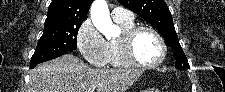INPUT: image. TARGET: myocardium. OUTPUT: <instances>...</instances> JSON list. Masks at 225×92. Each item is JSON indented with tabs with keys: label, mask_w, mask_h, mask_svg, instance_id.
<instances>
[{
	"label": "myocardium",
	"mask_w": 225,
	"mask_h": 92,
	"mask_svg": "<svg viewBox=\"0 0 225 92\" xmlns=\"http://www.w3.org/2000/svg\"><path fill=\"white\" fill-rule=\"evenodd\" d=\"M141 31L151 32L158 40L161 47V56L159 59L153 63L145 64L140 62L133 53V43L137 34ZM118 49L120 52L121 59L123 63L129 67L139 68V69H149L160 66L167 55V46L164 38L161 34L153 27L148 25H134L125 32L122 33L118 42Z\"/></svg>",
	"instance_id": "obj_1"
}]
</instances>
